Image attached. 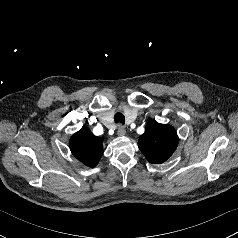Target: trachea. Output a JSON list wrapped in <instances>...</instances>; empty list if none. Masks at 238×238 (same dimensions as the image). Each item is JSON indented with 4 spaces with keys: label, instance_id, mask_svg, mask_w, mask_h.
Here are the masks:
<instances>
[{
    "label": "trachea",
    "instance_id": "obj_1",
    "mask_svg": "<svg viewBox=\"0 0 238 238\" xmlns=\"http://www.w3.org/2000/svg\"><path fill=\"white\" fill-rule=\"evenodd\" d=\"M114 121L115 123H121V124H124L125 123V117L122 113L120 112H117L115 115H114Z\"/></svg>",
    "mask_w": 238,
    "mask_h": 238
}]
</instances>
